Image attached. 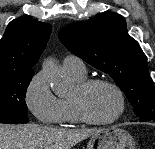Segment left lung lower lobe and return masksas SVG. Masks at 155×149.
<instances>
[{"label":"left lung lower lobe","instance_id":"1","mask_svg":"<svg viewBox=\"0 0 155 149\" xmlns=\"http://www.w3.org/2000/svg\"><path fill=\"white\" fill-rule=\"evenodd\" d=\"M139 122H146V121H154L155 122V115H148L146 117H142L138 120Z\"/></svg>","mask_w":155,"mask_h":149}]
</instances>
